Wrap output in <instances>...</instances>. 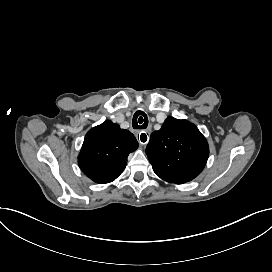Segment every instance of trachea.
Here are the masks:
<instances>
[{
    "instance_id": "obj_1",
    "label": "trachea",
    "mask_w": 272,
    "mask_h": 272,
    "mask_svg": "<svg viewBox=\"0 0 272 272\" xmlns=\"http://www.w3.org/2000/svg\"><path fill=\"white\" fill-rule=\"evenodd\" d=\"M138 114L136 113L133 117V128L134 129H145L147 126H148V118L147 116L144 114V119H142V122L139 121V124H138V121H137V118H138Z\"/></svg>"
}]
</instances>
